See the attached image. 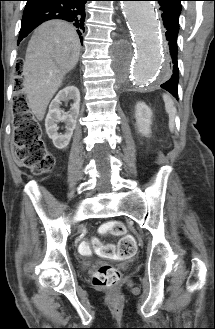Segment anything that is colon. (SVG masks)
I'll list each match as a JSON object with an SVG mask.
<instances>
[{
    "mask_svg": "<svg viewBox=\"0 0 215 329\" xmlns=\"http://www.w3.org/2000/svg\"><path fill=\"white\" fill-rule=\"evenodd\" d=\"M15 62H24V55H15ZM24 66H13V73H24ZM20 88L21 83L17 82ZM14 143L16 146L15 156L24 166L30 168L35 174H43L52 170L55 165L54 156L47 150L42 139L40 124L34 118L23 97H17L14 102ZM104 235L120 237L118 245L103 244L100 240L93 238L90 242H83L80 250L89 253L93 247L99 254L119 259L131 258L137 249L136 240L133 236L126 234L121 222L110 221L101 226ZM120 281V272L111 265H102L93 275V284L100 288H113Z\"/></svg>",
    "mask_w": 215,
    "mask_h": 329,
    "instance_id": "1",
    "label": "colon"
}]
</instances>
